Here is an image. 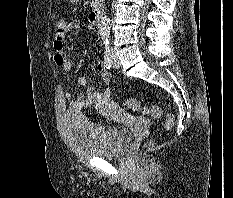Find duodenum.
Segmentation results:
<instances>
[{"label": "duodenum", "instance_id": "1", "mask_svg": "<svg viewBox=\"0 0 233 198\" xmlns=\"http://www.w3.org/2000/svg\"><path fill=\"white\" fill-rule=\"evenodd\" d=\"M101 16H102V10L99 8H96L92 10L90 14L88 15V22L91 25H95L100 21Z\"/></svg>", "mask_w": 233, "mask_h": 198}]
</instances>
